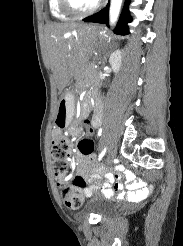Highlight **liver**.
<instances>
[{"label":"liver","instance_id":"1","mask_svg":"<svg viewBox=\"0 0 183 246\" xmlns=\"http://www.w3.org/2000/svg\"><path fill=\"white\" fill-rule=\"evenodd\" d=\"M95 27L77 23H52L46 29L50 66L61 92L87 66L94 52Z\"/></svg>","mask_w":183,"mask_h":246}]
</instances>
